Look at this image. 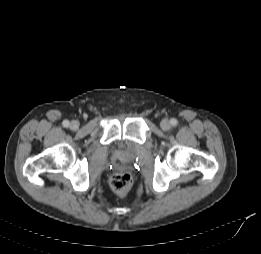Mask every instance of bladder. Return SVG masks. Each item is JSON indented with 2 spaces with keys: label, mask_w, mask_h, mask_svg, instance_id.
Segmentation results:
<instances>
[{
  "label": "bladder",
  "mask_w": 261,
  "mask_h": 254,
  "mask_svg": "<svg viewBox=\"0 0 261 254\" xmlns=\"http://www.w3.org/2000/svg\"><path fill=\"white\" fill-rule=\"evenodd\" d=\"M120 154L125 158H131L134 154V151L129 147H124L120 149Z\"/></svg>",
  "instance_id": "31cf9c89"
}]
</instances>
